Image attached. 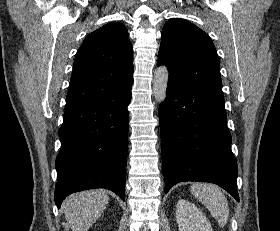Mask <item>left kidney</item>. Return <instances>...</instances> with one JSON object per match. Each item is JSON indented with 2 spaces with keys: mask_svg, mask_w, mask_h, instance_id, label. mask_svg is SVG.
Masks as SVG:
<instances>
[{
  "mask_svg": "<svg viewBox=\"0 0 280 231\" xmlns=\"http://www.w3.org/2000/svg\"><path fill=\"white\" fill-rule=\"evenodd\" d=\"M176 219L180 231H213L203 211L187 199H179L176 205Z\"/></svg>",
  "mask_w": 280,
  "mask_h": 231,
  "instance_id": "1",
  "label": "left kidney"
}]
</instances>
